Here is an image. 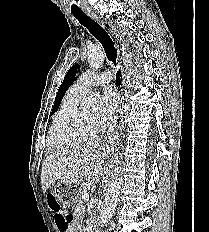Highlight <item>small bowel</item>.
<instances>
[{"label": "small bowel", "mask_w": 209, "mask_h": 232, "mask_svg": "<svg viewBox=\"0 0 209 232\" xmlns=\"http://www.w3.org/2000/svg\"><path fill=\"white\" fill-rule=\"evenodd\" d=\"M82 215V209L78 208L73 215L71 224L66 229H59L64 232H80L79 220L81 219Z\"/></svg>", "instance_id": "small-bowel-1"}]
</instances>
